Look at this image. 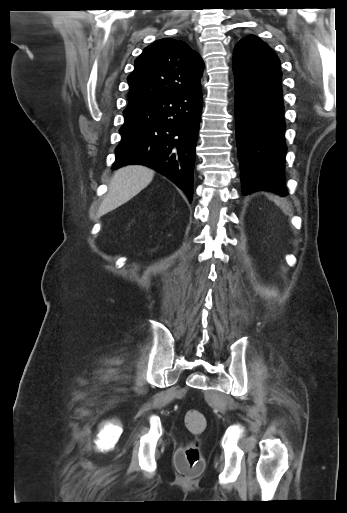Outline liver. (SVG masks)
Instances as JSON below:
<instances>
[{
    "label": "liver",
    "instance_id": "liver-1",
    "mask_svg": "<svg viewBox=\"0 0 347 513\" xmlns=\"http://www.w3.org/2000/svg\"><path fill=\"white\" fill-rule=\"evenodd\" d=\"M153 177L154 170L142 165H128L116 170L99 214L104 215L128 202L146 188Z\"/></svg>",
    "mask_w": 347,
    "mask_h": 513
}]
</instances>
